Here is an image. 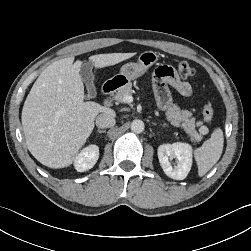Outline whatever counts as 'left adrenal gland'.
Listing matches in <instances>:
<instances>
[{
    "label": "left adrenal gland",
    "mask_w": 251,
    "mask_h": 251,
    "mask_svg": "<svg viewBox=\"0 0 251 251\" xmlns=\"http://www.w3.org/2000/svg\"><path fill=\"white\" fill-rule=\"evenodd\" d=\"M162 126H163V127H165V126H166V124H163Z\"/></svg>",
    "instance_id": "a2214340"
}]
</instances>
